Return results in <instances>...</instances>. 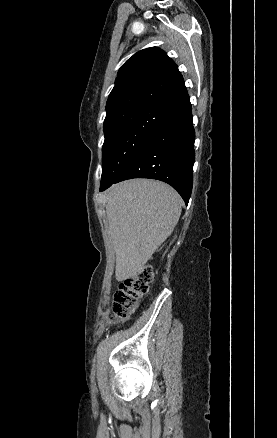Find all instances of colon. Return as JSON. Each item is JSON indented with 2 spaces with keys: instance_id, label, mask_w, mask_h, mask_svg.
Here are the masks:
<instances>
[{
  "instance_id": "obj_1",
  "label": "colon",
  "mask_w": 277,
  "mask_h": 438,
  "mask_svg": "<svg viewBox=\"0 0 277 438\" xmlns=\"http://www.w3.org/2000/svg\"><path fill=\"white\" fill-rule=\"evenodd\" d=\"M151 278V268L145 267L140 273L122 281L114 294L112 314L115 318L128 315L137 306L138 299L149 293L148 282Z\"/></svg>"
}]
</instances>
